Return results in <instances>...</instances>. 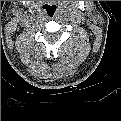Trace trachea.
Listing matches in <instances>:
<instances>
[{
    "mask_svg": "<svg viewBox=\"0 0 121 121\" xmlns=\"http://www.w3.org/2000/svg\"><path fill=\"white\" fill-rule=\"evenodd\" d=\"M46 11H47L48 17H50V18L54 17L57 14V10L53 6H48L46 8Z\"/></svg>",
    "mask_w": 121,
    "mask_h": 121,
    "instance_id": "3493384b",
    "label": "trachea"
}]
</instances>
